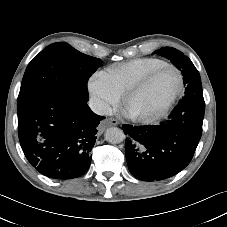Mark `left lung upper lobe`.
<instances>
[{
    "instance_id": "1",
    "label": "left lung upper lobe",
    "mask_w": 227,
    "mask_h": 227,
    "mask_svg": "<svg viewBox=\"0 0 227 227\" xmlns=\"http://www.w3.org/2000/svg\"><path fill=\"white\" fill-rule=\"evenodd\" d=\"M154 53L169 59L171 63L182 72L185 96L179 102L178 106L190 104L205 106L200 74L191 60L181 51L172 47H163Z\"/></svg>"
}]
</instances>
